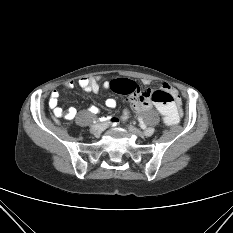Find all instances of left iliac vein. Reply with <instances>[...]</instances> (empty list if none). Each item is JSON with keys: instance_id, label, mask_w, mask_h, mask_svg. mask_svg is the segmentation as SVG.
Wrapping results in <instances>:
<instances>
[{"instance_id": "obj_1", "label": "left iliac vein", "mask_w": 233, "mask_h": 233, "mask_svg": "<svg viewBox=\"0 0 233 233\" xmlns=\"http://www.w3.org/2000/svg\"><path fill=\"white\" fill-rule=\"evenodd\" d=\"M128 129H129L132 133H134V134H136V135H138V136H141V137L145 136V134H144V132H143L142 130H140V129L134 127V126H131V125H130V126L128 127Z\"/></svg>"}]
</instances>
